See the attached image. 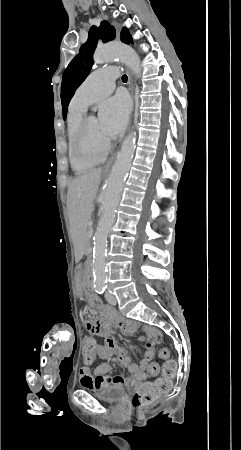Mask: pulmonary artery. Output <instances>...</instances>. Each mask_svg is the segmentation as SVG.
I'll use <instances>...</instances> for the list:
<instances>
[{"label": "pulmonary artery", "instance_id": "pulmonary-artery-1", "mask_svg": "<svg viewBox=\"0 0 241 450\" xmlns=\"http://www.w3.org/2000/svg\"><path fill=\"white\" fill-rule=\"evenodd\" d=\"M117 77L118 70L113 64H104L102 69H93V73L76 91L73 102L87 107L108 97L114 89L112 78Z\"/></svg>", "mask_w": 241, "mask_h": 450}]
</instances>
